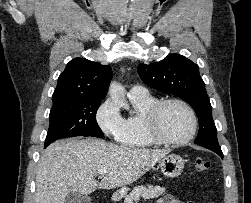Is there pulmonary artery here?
<instances>
[{"label": "pulmonary artery", "mask_w": 251, "mask_h": 203, "mask_svg": "<svg viewBox=\"0 0 251 203\" xmlns=\"http://www.w3.org/2000/svg\"><path fill=\"white\" fill-rule=\"evenodd\" d=\"M128 96L130 98H145L149 96V92L145 87L135 85L129 90Z\"/></svg>", "instance_id": "pulmonary-artery-1"}]
</instances>
